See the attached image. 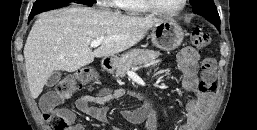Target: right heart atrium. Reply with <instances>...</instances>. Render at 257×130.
Segmentation results:
<instances>
[{
    "label": "right heart atrium",
    "instance_id": "1",
    "mask_svg": "<svg viewBox=\"0 0 257 130\" xmlns=\"http://www.w3.org/2000/svg\"><path fill=\"white\" fill-rule=\"evenodd\" d=\"M99 4L105 7H115V0H98Z\"/></svg>",
    "mask_w": 257,
    "mask_h": 130
}]
</instances>
